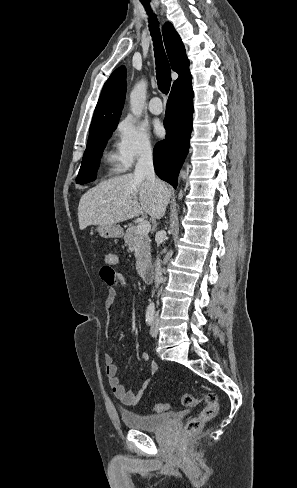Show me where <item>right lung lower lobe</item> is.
Wrapping results in <instances>:
<instances>
[{"label":"right lung lower lobe","instance_id":"1","mask_svg":"<svg viewBox=\"0 0 297 488\" xmlns=\"http://www.w3.org/2000/svg\"><path fill=\"white\" fill-rule=\"evenodd\" d=\"M193 95L191 78L172 86L164 120L166 138L154 147L155 172L174 188L177 187L178 174L189 148Z\"/></svg>","mask_w":297,"mask_h":488}]
</instances>
